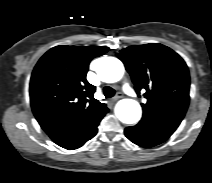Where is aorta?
<instances>
[{
	"label": "aorta",
	"instance_id": "obj_1",
	"mask_svg": "<svg viewBox=\"0 0 212 183\" xmlns=\"http://www.w3.org/2000/svg\"><path fill=\"white\" fill-rule=\"evenodd\" d=\"M97 73L104 82H117L124 74V66L117 58L103 57L98 62ZM115 114L122 123L135 124L140 120L142 110L137 101L133 99H123L117 103Z\"/></svg>",
	"mask_w": 212,
	"mask_h": 183
}]
</instances>
